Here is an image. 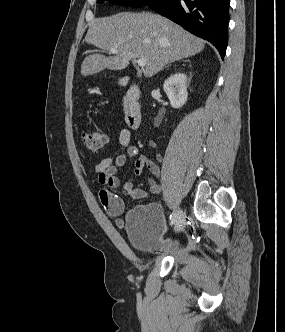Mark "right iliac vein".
I'll return each mask as SVG.
<instances>
[{
    "label": "right iliac vein",
    "instance_id": "1",
    "mask_svg": "<svg viewBox=\"0 0 285 332\" xmlns=\"http://www.w3.org/2000/svg\"><path fill=\"white\" fill-rule=\"evenodd\" d=\"M183 212L182 210L178 209L176 211V220H175V231L178 232L182 228V223H183Z\"/></svg>",
    "mask_w": 285,
    "mask_h": 332
}]
</instances>
